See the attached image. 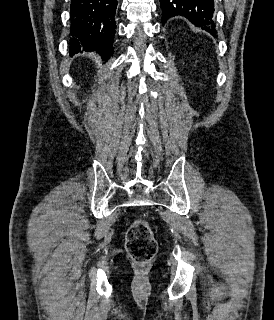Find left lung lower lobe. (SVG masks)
<instances>
[{"label":"left lung lower lobe","mask_w":274,"mask_h":320,"mask_svg":"<svg viewBox=\"0 0 274 320\" xmlns=\"http://www.w3.org/2000/svg\"><path fill=\"white\" fill-rule=\"evenodd\" d=\"M162 24L170 17L184 16L195 26L201 27L215 37L213 0H160Z\"/></svg>","instance_id":"obj_1"}]
</instances>
